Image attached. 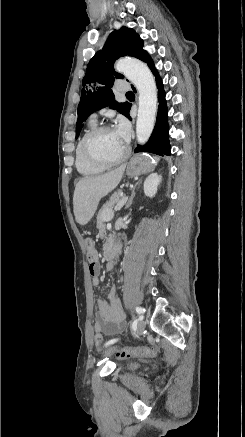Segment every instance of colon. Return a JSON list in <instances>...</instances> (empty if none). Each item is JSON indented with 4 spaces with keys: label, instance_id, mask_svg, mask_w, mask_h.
Listing matches in <instances>:
<instances>
[{
    "label": "colon",
    "instance_id": "colon-1",
    "mask_svg": "<svg viewBox=\"0 0 245 437\" xmlns=\"http://www.w3.org/2000/svg\"><path fill=\"white\" fill-rule=\"evenodd\" d=\"M86 248L87 257L90 262L89 270L93 271L96 263V250L94 242L91 239L86 240ZM94 343L98 348H100L101 344L103 343V336L101 333L95 334ZM116 354L119 357L155 356L157 354V350L154 347L144 346L124 347L120 350H117Z\"/></svg>",
    "mask_w": 245,
    "mask_h": 437
}]
</instances>
